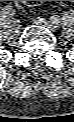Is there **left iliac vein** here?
<instances>
[{"instance_id":"4c4485c4","label":"left iliac vein","mask_w":74,"mask_h":122,"mask_svg":"<svg viewBox=\"0 0 74 122\" xmlns=\"http://www.w3.org/2000/svg\"><path fill=\"white\" fill-rule=\"evenodd\" d=\"M34 23L37 24V25H42V26H45L46 28H48L50 31H55L57 26L56 24L53 22V21H48L44 18H35L34 19Z\"/></svg>"}]
</instances>
